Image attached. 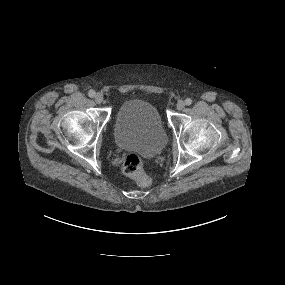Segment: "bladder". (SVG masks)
<instances>
[{
	"label": "bladder",
	"mask_w": 285,
	"mask_h": 285,
	"mask_svg": "<svg viewBox=\"0 0 285 285\" xmlns=\"http://www.w3.org/2000/svg\"><path fill=\"white\" fill-rule=\"evenodd\" d=\"M114 139L118 147L146 157L157 155L167 144V134L157 109L138 99L128 100L119 107Z\"/></svg>",
	"instance_id": "1"
}]
</instances>
